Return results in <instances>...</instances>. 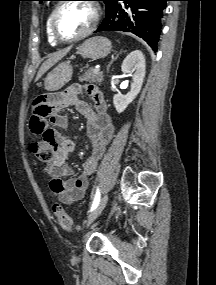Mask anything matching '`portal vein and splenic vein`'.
I'll return each mask as SVG.
<instances>
[{
  "label": "portal vein and splenic vein",
  "instance_id": "1",
  "mask_svg": "<svg viewBox=\"0 0 216 285\" xmlns=\"http://www.w3.org/2000/svg\"><path fill=\"white\" fill-rule=\"evenodd\" d=\"M99 71H100V68H99V67H96V68L93 70L94 73H97V72H99Z\"/></svg>",
  "mask_w": 216,
  "mask_h": 285
}]
</instances>
